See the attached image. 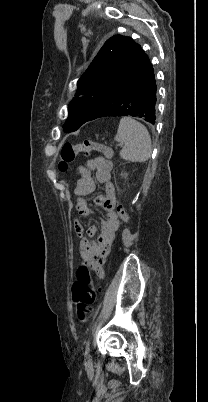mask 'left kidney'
I'll return each instance as SVG.
<instances>
[{"label":"left kidney","instance_id":"1","mask_svg":"<svg viewBox=\"0 0 208 402\" xmlns=\"http://www.w3.org/2000/svg\"><path fill=\"white\" fill-rule=\"evenodd\" d=\"M121 176H123V178H127L128 174H121Z\"/></svg>","mask_w":208,"mask_h":402}]
</instances>
